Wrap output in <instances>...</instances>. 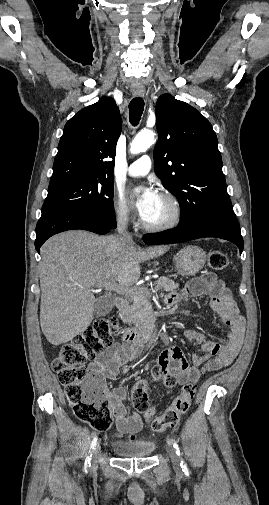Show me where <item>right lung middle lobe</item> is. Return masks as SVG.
Returning <instances> with one entry per match:
<instances>
[{"label":"right lung middle lobe","instance_id":"1","mask_svg":"<svg viewBox=\"0 0 269 505\" xmlns=\"http://www.w3.org/2000/svg\"><path fill=\"white\" fill-rule=\"evenodd\" d=\"M113 180H89L48 189L42 213L69 209L115 226Z\"/></svg>","mask_w":269,"mask_h":505}]
</instances>
